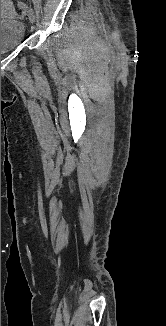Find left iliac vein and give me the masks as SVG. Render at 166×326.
<instances>
[{"label": "left iliac vein", "instance_id": "obj_1", "mask_svg": "<svg viewBox=\"0 0 166 326\" xmlns=\"http://www.w3.org/2000/svg\"><path fill=\"white\" fill-rule=\"evenodd\" d=\"M27 16L29 18V21L31 23H34L35 22V19H36V15H35V12L32 8H28L27 9Z\"/></svg>", "mask_w": 166, "mask_h": 326}]
</instances>
